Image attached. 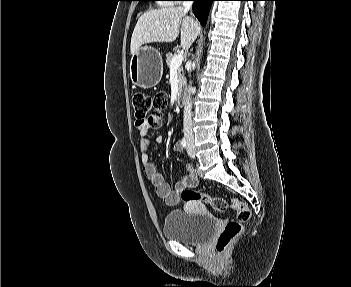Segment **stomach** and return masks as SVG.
I'll return each mask as SVG.
<instances>
[{"label":"stomach","instance_id":"0dacf381","mask_svg":"<svg viewBox=\"0 0 351 287\" xmlns=\"http://www.w3.org/2000/svg\"><path fill=\"white\" fill-rule=\"evenodd\" d=\"M163 75L161 53L151 47H141L130 60V77L135 85L148 89L156 86Z\"/></svg>","mask_w":351,"mask_h":287}]
</instances>
